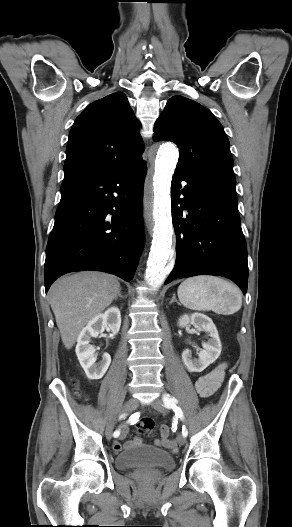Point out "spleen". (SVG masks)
Returning a JSON list of instances; mask_svg holds the SVG:
<instances>
[{
	"label": "spleen",
	"instance_id": "spleen-1",
	"mask_svg": "<svg viewBox=\"0 0 292 527\" xmlns=\"http://www.w3.org/2000/svg\"><path fill=\"white\" fill-rule=\"evenodd\" d=\"M179 301L188 309L233 314L242 306L240 290L232 283L215 276L185 279L177 290Z\"/></svg>",
	"mask_w": 292,
	"mask_h": 527
}]
</instances>
